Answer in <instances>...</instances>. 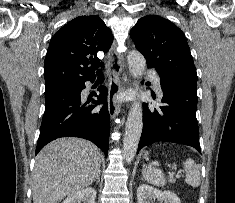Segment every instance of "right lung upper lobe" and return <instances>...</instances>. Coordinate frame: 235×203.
Here are the masks:
<instances>
[{"label": "right lung upper lobe", "instance_id": "obj_1", "mask_svg": "<svg viewBox=\"0 0 235 203\" xmlns=\"http://www.w3.org/2000/svg\"><path fill=\"white\" fill-rule=\"evenodd\" d=\"M111 30L97 15L79 16L52 37L44 63L45 85L75 84L102 65L96 54L108 52Z\"/></svg>", "mask_w": 235, "mask_h": 203}]
</instances>
